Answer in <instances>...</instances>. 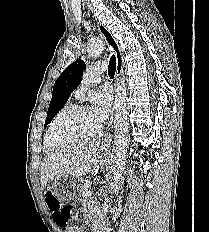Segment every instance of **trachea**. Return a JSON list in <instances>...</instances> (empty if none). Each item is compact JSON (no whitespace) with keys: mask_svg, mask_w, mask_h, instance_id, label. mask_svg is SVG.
Here are the masks:
<instances>
[{"mask_svg":"<svg viewBox=\"0 0 209 232\" xmlns=\"http://www.w3.org/2000/svg\"><path fill=\"white\" fill-rule=\"evenodd\" d=\"M116 71V57L112 55L109 61L108 75L110 78H113Z\"/></svg>","mask_w":209,"mask_h":232,"instance_id":"obj_1","label":"trachea"}]
</instances>
